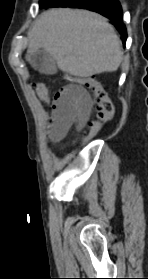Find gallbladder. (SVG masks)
I'll return each instance as SVG.
<instances>
[{
	"instance_id": "gallbladder-1",
	"label": "gallbladder",
	"mask_w": 148,
	"mask_h": 279,
	"mask_svg": "<svg viewBox=\"0 0 148 279\" xmlns=\"http://www.w3.org/2000/svg\"><path fill=\"white\" fill-rule=\"evenodd\" d=\"M27 60L36 71L42 74L54 75L57 73L55 59L50 53L43 49H40L33 54H28Z\"/></svg>"
}]
</instances>
